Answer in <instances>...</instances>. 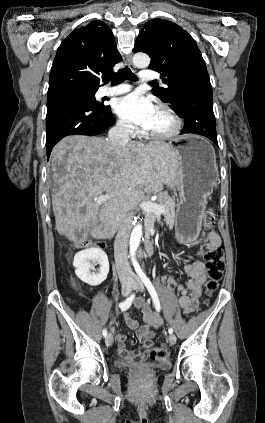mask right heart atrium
<instances>
[{
    "label": "right heart atrium",
    "mask_w": 265,
    "mask_h": 423,
    "mask_svg": "<svg viewBox=\"0 0 265 423\" xmlns=\"http://www.w3.org/2000/svg\"><path fill=\"white\" fill-rule=\"evenodd\" d=\"M116 127L118 130L125 134L132 135L135 132V127L129 123L128 121H125L123 119H119L116 123Z\"/></svg>",
    "instance_id": "d8ad5b80"
}]
</instances>
